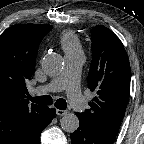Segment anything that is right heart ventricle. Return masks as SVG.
Wrapping results in <instances>:
<instances>
[{"instance_id": "right-heart-ventricle-1", "label": "right heart ventricle", "mask_w": 144, "mask_h": 144, "mask_svg": "<svg viewBox=\"0 0 144 144\" xmlns=\"http://www.w3.org/2000/svg\"><path fill=\"white\" fill-rule=\"evenodd\" d=\"M60 44L65 54L82 52L80 40L73 31H65L60 37Z\"/></svg>"}]
</instances>
